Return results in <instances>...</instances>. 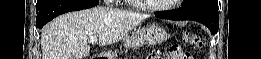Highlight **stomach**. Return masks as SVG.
I'll return each mask as SVG.
<instances>
[{
	"label": "stomach",
	"mask_w": 261,
	"mask_h": 59,
	"mask_svg": "<svg viewBox=\"0 0 261 59\" xmlns=\"http://www.w3.org/2000/svg\"><path fill=\"white\" fill-rule=\"evenodd\" d=\"M167 38L166 30L160 25L152 23L138 29L132 36L125 37L124 41L126 48L138 50L145 45L161 44Z\"/></svg>",
	"instance_id": "0dacf381"
}]
</instances>
